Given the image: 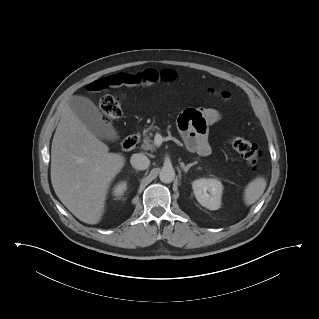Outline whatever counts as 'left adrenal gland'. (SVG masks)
<instances>
[{"instance_id":"1","label":"left adrenal gland","mask_w":319,"mask_h":319,"mask_svg":"<svg viewBox=\"0 0 319 319\" xmlns=\"http://www.w3.org/2000/svg\"><path fill=\"white\" fill-rule=\"evenodd\" d=\"M197 162L189 163L185 165L184 163H181L180 167L184 172H187L193 165H195Z\"/></svg>"}]
</instances>
